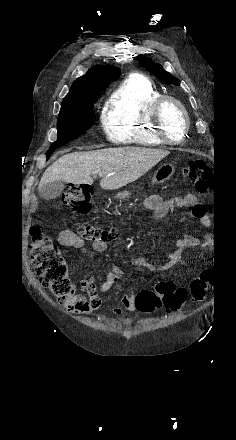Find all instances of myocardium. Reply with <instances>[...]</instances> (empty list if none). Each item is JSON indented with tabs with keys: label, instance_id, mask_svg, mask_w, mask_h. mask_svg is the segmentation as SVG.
<instances>
[{
	"label": "myocardium",
	"instance_id": "1",
	"mask_svg": "<svg viewBox=\"0 0 236 440\" xmlns=\"http://www.w3.org/2000/svg\"><path fill=\"white\" fill-rule=\"evenodd\" d=\"M172 103L175 106L178 107L180 110L183 121H184V129L181 138L174 139L172 138L168 132L165 129L164 122H163V110L164 107ZM149 118L153 125L154 133L155 135L164 143V144H180L185 141L188 131H189V125H190V119L189 114L183 103L178 100L177 98L170 96V95H161L159 96L151 105L150 112H149Z\"/></svg>",
	"mask_w": 236,
	"mask_h": 440
}]
</instances>
